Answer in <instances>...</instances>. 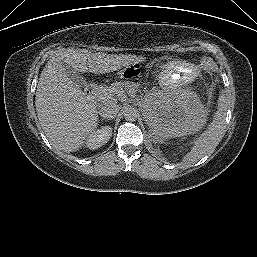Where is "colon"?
I'll use <instances>...</instances> for the list:
<instances>
[{
  "label": "colon",
  "instance_id": "1",
  "mask_svg": "<svg viewBox=\"0 0 257 257\" xmlns=\"http://www.w3.org/2000/svg\"><path fill=\"white\" fill-rule=\"evenodd\" d=\"M204 69L209 73H215L217 70V67L215 63L209 58L204 57L201 61ZM119 77L122 79H133L140 75V68L139 66H132L129 68H126L124 70H121L118 73Z\"/></svg>",
  "mask_w": 257,
  "mask_h": 257
}]
</instances>
